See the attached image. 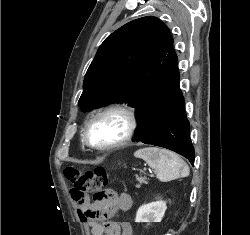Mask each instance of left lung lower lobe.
I'll return each instance as SVG.
<instances>
[{"label":"left lung lower lobe","instance_id":"0a47b994","mask_svg":"<svg viewBox=\"0 0 250 235\" xmlns=\"http://www.w3.org/2000/svg\"><path fill=\"white\" fill-rule=\"evenodd\" d=\"M177 56L170 49L136 106L134 141L170 149L194 164V148L189 137L184 99L179 87Z\"/></svg>","mask_w":250,"mask_h":235}]
</instances>
